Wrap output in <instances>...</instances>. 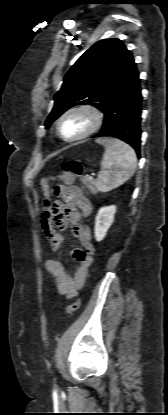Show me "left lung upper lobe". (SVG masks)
Here are the masks:
<instances>
[{"label": "left lung upper lobe", "mask_w": 168, "mask_h": 415, "mask_svg": "<svg viewBox=\"0 0 168 415\" xmlns=\"http://www.w3.org/2000/svg\"><path fill=\"white\" fill-rule=\"evenodd\" d=\"M136 70L132 54L119 39L95 43L66 74L45 127L75 105L90 104L104 112Z\"/></svg>", "instance_id": "5c2ea615"}]
</instances>
